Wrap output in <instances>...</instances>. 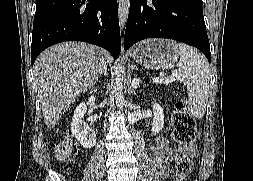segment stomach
Returning <instances> with one entry per match:
<instances>
[{
    "label": "stomach",
    "mask_w": 253,
    "mask_h": 181,
    "mask_svg": "<svg viewBox=\"0 0 253 181\" xmlns=\"http://www.w3.org/2000/svg\"><path fill=\"white\" fill-rule=\"evenodd\" d=\"M175 44L168 39H147L136 45L133 58L149 69L171 68L179 60V50Z\"/></svg>",
    "instance_id": "0dacf381"
}]
</instances>
